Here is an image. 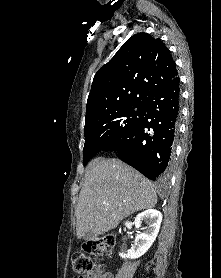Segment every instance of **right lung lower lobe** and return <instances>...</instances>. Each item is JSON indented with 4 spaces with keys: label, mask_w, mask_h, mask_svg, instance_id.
I'll use <instances>...</instances> for the list:
<instances>
[{
    "label": "right lung lower lobe",
    "mask_w": 221,
    "mask_h": 278,
    "mask_svg": "<svg viewBox=\"0 0 221 278\" xmlns=\"http://www.w3.org/2000/svg\"><path fill=\"white\" fill-rule=\"evenodd\" d=\"M141 122L103 150L117 151L120 159L151 180L163 181L170 172L180 114L179 77L151 92L144 101Z\"/></svg>",
    "instance_id": "1"
}]
</instances>
